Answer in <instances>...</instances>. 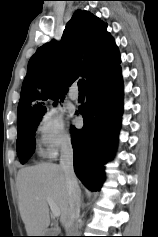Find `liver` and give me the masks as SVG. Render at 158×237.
I'll use <instances>...</instances> for the list:
<instances>
[{
  "mask_svg": "<svg viewBox=\"0 0 158 237\" xmlns=\"http://www.w3.org/2000/svg\"><path fill=\"white\" fill-rule=\"evenodd\" d=\"M18 208L28 236H42L50 224L49 204L52 198L60 210V221L68 217V190L63 169L58 164L40 163L19 170L16 178Z\"/></svg>",
  "mask_w": 158,
  "mask_h": 237,
  "instance_id": "1",
  "label": "liver"
}]
</instances>
